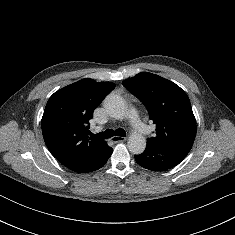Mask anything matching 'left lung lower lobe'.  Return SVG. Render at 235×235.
<instances>
[{"mask_svg":"<svg viewBox=\"0 0 235 235\" xmlns=\"http://www.w3.org/2000/svg\"><path fill=\"white\" fill-rule=\"evenodd\" d=\"M188 153L147 143L145 151L135 155L136 162L149 170L165 171L179 164Z\"/></svg>","mask_w":235,"mask_h":235,"instance_id":"obj_1","label":"left lung lower lobe"}]
</instances>
